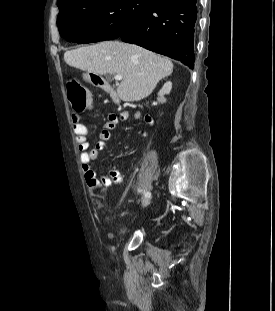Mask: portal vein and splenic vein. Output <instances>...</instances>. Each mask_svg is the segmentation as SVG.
I'll list each match as a JSON object with an SVG mask.
<instances>
[{"label":"portal vein and splenic vein","instance_id":"1","mask_svg":"<svg viewBox=\"0 0 275 311\" xmlns=\"http://www.w3.org/2000/svg\"><path fill=\"white\" fill-rule=\"evenodd\" d=\"M114 79L116 81H121L123 79V77H122V75L117 74V75L114 76Z\"/></svg>","mask_w":275,"mask_h":311}]
</instances>
